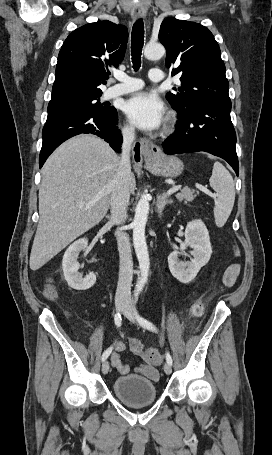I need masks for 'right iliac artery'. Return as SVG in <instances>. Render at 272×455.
<instances>
[{
  "mask_svg": "<svg viewBox=\"0 0 272 455\" xmlns=\"http://www.w3.org/2000/svg\"><path fill=\"white\" fill-rule=\"evenodd\" d=\"M114 321H115V324L117 327L121 326L122 318H121L120 313L115 314ZM112 350H113V346L109 347L107 350L104 351V353L102 355V361H105L108 358V356L110 355Z\"/></svg>",
  "mask_w": 272,
  "mask_h": 455,
  "instance_id": "82829eb1",
  "label": "right iliac artery"
}]
</instances>
